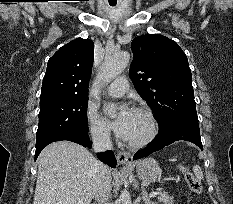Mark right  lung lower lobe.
<instances>
[{
  "label": "right lung lower lobe",
  "mask_w": 233,
  "mask_h": 204,
  "mask_svg": "<svg viewBox=\"0 0 233 204\" xmlns=\"http://www.w3.org/2000/svg\"><path fill=\"white\" fill-rule=\"evenodd\" d=\"M62 140L72 141V142L78 143L84 147H89V148L91 147V144H92L90 139H89L88 133L63 134L50 142L36 146L35 160L45 146H47L48 144H50L52 142L62 141ZM97 156H98L100 161L106 163L110 167H112V168L116 167V158H115L114 153L112 151H106L105 153L97 154Z\"/></svg>",
  "instance_id": "obj_1"
}]
</instances>
